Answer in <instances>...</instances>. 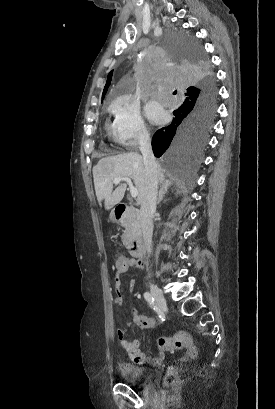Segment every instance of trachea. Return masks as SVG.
<instances>
[{
  "label": "trachea",
  "mask_w": 275,
  "mask_h": 409,
  "mask_svg": "<svg viewBox=\"0 0 275 409\" xmlns=\"http://www.w3.org/2000/svg\"><path fill=\"white\" fill-rule=\"evenodd\" d=\"M173 93L176 94L177 93L176 90Z\"/></svg>",
  "instance_id": "1"
}]
</instances>
